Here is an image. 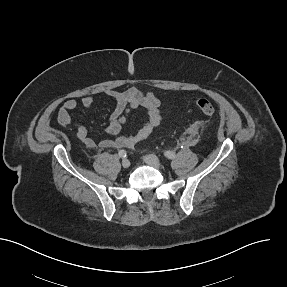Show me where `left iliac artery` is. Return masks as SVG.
I'll return each instance as SVG.
<instances>
[{
    "label": "left iliac artery",
    "mask_w": 287,
    "mask_h": 287,
    "mask_svg": "<svg viewBox=\"0 0 287 287\" xmlns=\"http://www.w3.org/2000/svg\"><path fill=\"white\" fill-rule=\"evenodd\" d=\"M181 148H183V145L181 146ZM164 155L168 158V159H173L175 157V153L173 151H166L164 153Z\"/></svg>",
    "instance_id": "1"
}]
</instances>
